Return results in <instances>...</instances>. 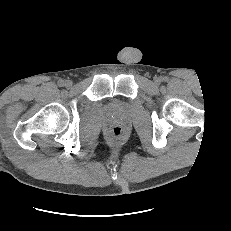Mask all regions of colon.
Masks as SVG:
<instances>
[{"mask_svg": "<svg viewBox=\"0 0 231 231\" xmlns=\"http://www.w3.org/2000/svg\"><path fill=\"white\" fill-rule=\"evenodd\" d=\"M123 134V129L121 127H114L111 130V135L115 138V139H119Z\"/></svg>", "mask_w": 231, "mask_h": 231, "instance_id": "colon-1", "label": "colon"}]
</instances>
